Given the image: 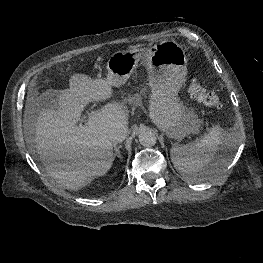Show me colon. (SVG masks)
Listing matches in <instances>:
<instances>
[{
	"label": "colon",
	"instance_id": "obj_1",
	"mask_svg": "<svg viewBox=\"0 0 263 263\" xmlns=\"http://www.w3.org/2000/svg\"><path fill=\"white\" fill-rule=\"evenodd\" d=\"M188 91L191 98L198 101L199 103L216 109L221 108L219 97L207 85L198 81H192L189 85Z\"/></svg>",
	"mask_w": 263,
	"mask_h": 263
}]
</instances>
